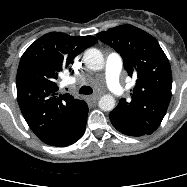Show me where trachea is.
Masks as SVG:
<instances>
[{
	"label": "trachea",
	"mask_w": 187,
	"mask_h": 187,
	"mask_svg": "<svg viewBox=\"0 0 187 187\" xmlns=\"http://www.w3.org/2000/svg\"><path fill=\"white\" fill-rule=\"evenodd\" d=\"M93 93V89L89 86H82L79 90V94L89 95Z\"/></svg>",
	"instance_id": "obj_1"
}]
</instances>
